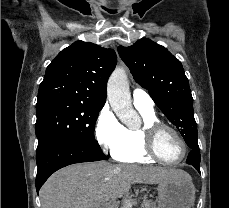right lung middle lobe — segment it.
Returning <instances> with one entry per match:
<instances>
[{"mask_svg": "<svg viewBox=\"0 0 229 208\" xmlns=\"http://www.w3.org/2000/svg\"><path fill=\"white\" fill-rule=\"evenodd\" d=\"M36 110V152L63 138L77 139L100 147L94 137V127L100 109L76 100L54 98L37 102Z\"/></svg>", "mask_w": 229, "mask_h": 208, "instance_id": "1", "label": "right lung middle lobe"}]
</instances>
